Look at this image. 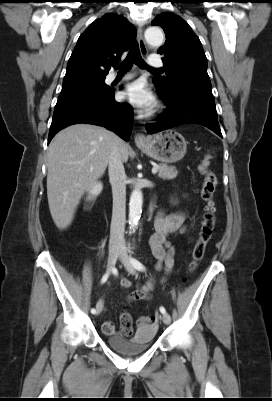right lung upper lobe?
<instances>
[{"label":"right lung upper lobe","mask_w":272,"mask_h":401,"mask_svg":"<svg viewBox=\"0 0 272 401\" xmlns=\"http://www.w3.org/2000/svg\"><path fill=\"white\" fill-rule=\"evenodd\" d=\"M135 36V27L121 15L107 13L95 20L77 41L62 90L105 80L110 65L120 61Z\"/></svg>","instance_id":"obj_1"}]
</instances>
